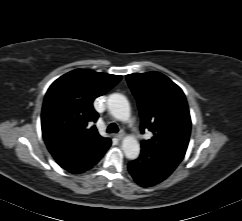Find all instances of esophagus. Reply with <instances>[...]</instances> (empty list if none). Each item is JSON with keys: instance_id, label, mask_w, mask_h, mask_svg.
Returning <instances> with one entry per match:
<instances>
[{"instance_id": "esophagus-1", "label": "esophagus", "mask_w": 242, "mask_h": 221, "mask_svg": "<svg viewBox=\"0 0 242 221\" xmlns=\"http://www.w3.org/2000/svg\"><path fill=\"white\" fill-rule=\"evenodd\" d=\"M124 136H125V133H124V132H120V133H118V134L115 135V137H116L117 139H119V140L123 139Z\"/></svg>"}]
</instances>
